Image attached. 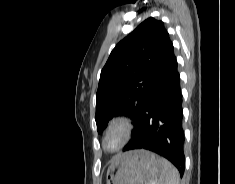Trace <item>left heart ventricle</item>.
Listing matches in <instances>:
<instances>
[{"label": "left heart ventricle", "instance_id": "b2bd125f", "mask_svg": "<svg viewBox=\"0 0 235 184\" xmlns=\"http://www.w3.org/2000/svg\"><path fill=\"white\" fill-rule=\"evenodd\" d=\"M119 142V136L116 132L109 133L104 140V148L107 151H113Z\"/></svg>", "mask_w": 235, "mask_h": 184}]
</instances>
